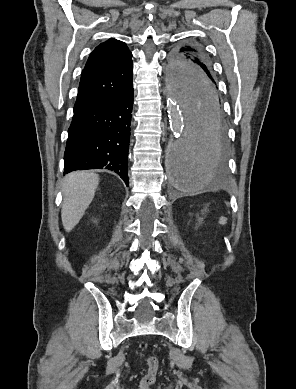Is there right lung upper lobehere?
Masks as SVG:
<instances>
[{"label":"right lung upper lobe","instance_id":"1","mask_svg":"<svg viewBox=\"0 0 296 389\" xmlns=\"http://www.w3.org/2000/svg\"><path fill=\"white\" fill-rule=\"evenodd\" d=\"M132 54L114 38L97 46L82 72L74 111L120 95L132 83Z\"/></svg>","mask_w":296,"mask_h":389}]
</instances>
